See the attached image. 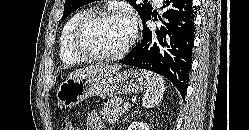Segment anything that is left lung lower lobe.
I'll return each instance as SVG.
<instances>
[{
	"label": "left lung lower lobe",
	"mask_w": 249,
	"mask_h": 130,
	"mask_svg": "<svg viewBox=\"0 0 249 130\" xmlns=\"http://www.w3.org/2000/svg\"><path fill=\"white\" fill-rule=\"evenodd\" d=\"M167 8L155 32L143 21V40L120 63L147 69L169 79L185 97L192 62L194 40V6L191 0H166Z\"/></svg>",
	"instance_id": "0a47b994"
}]
</instances>
